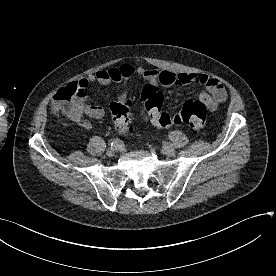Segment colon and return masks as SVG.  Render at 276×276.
I'll return each mask as SVG.
<instances>
[{
	"label": "colon",
	"mask_w": 276,
	"mask_h": 276,
	"mask_svg": "<svg viewBox=\"0 0 276 276\" xmlns=\"http://www.w3.org/2000/svg\"><path fill=\"white\" fill-rule=\"evenodd\" d=\"M82 95L77 82L68 84L58 90L54 96L55 108L67 117L76 113L75 101ZM146 118L159 128L187 125L194 131H201L206 124V105L200 100H188L180 112L168 114L163 111L164 97L155 84H146L141 93ZM131 106L129 99L111 103L110 111L115 128L120 133L131 130Z\"/></svg>",
	"instance_id": "1"
}]
</instances>
